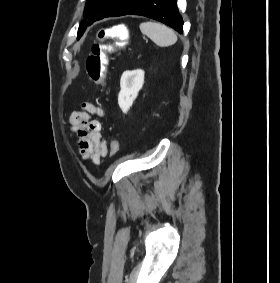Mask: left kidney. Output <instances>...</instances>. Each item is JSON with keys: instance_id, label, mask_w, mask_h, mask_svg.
<instances>
[{"instance_id": "5707ae66", "label": "left kidney", "mask_w": 280, "mask_h": 283, "mask_svg": "<svg viewBox=\"0 0 280 283\" xmlns=\"http://www.w3.org/2000/svg\"><path fill=\"white\" fill-rule=\"evenodd\" d=\"M144 71L141 69L125 71L120 79L121 90L118 104L123 113H127L144 84Z\"/></svg>"}]
</instances>
